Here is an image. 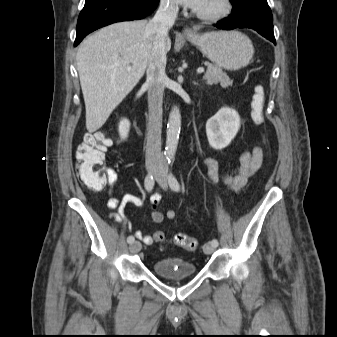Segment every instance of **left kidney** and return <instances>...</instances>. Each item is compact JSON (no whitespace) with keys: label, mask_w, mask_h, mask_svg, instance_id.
<instances>
[{"label":"left kidney","mask_w":337,"mask_h":337,"mask_svg":"<svg viewBox=\"0 0 337 337\" xmlns=\"http://www.w3.org/2000/svg\"><path fill=\"white\" fill-rule=\"evenodd\" d=\"M240 128L239 114L231 108L220 109L206 123V134L210 146L216 150L227 147Z\"/></svg>","instance_id":"obj_1"}]
</instances>
